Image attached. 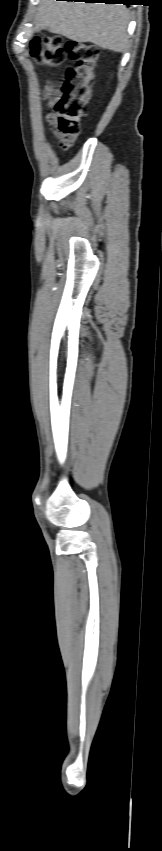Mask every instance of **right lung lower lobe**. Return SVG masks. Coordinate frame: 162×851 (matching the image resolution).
I'll return each mask as SVG.
<instances>
[{
	"mask_svg": "<svg viewBox=\"0 0 162 851\" xmlns=\"http://www.w3.org/2000/svg\"><path fill=\"white\" fill-rule=\"evenodd\" d=\"M67 1H85V2H103L106 4H119L122 3L124 5H129L133 0H67Z\"/></svg>",
	"mask_w": 162,
	"mask_h": 851,
	"instance_id": "right-lung-lower-lobe-1",
	"label": "right lung lower lobe"
}]
</instances>
